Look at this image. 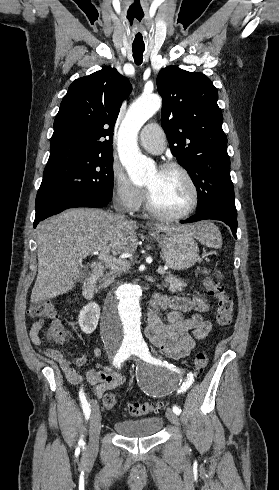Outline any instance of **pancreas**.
<instances>
[{
  "instance_id": "1",
  "label": "pancreas",
  "mask_w": 279,
  "mask_h": 490,
  "mask_svg": "<svg viewBox=\"0 0 279 490\" xmlns=\"http://www.w3.org/2000/svg\"><path fill=\"white\" fill-rule=\"evenodd\" d=\"M131 264H125V266H117V268H112L110 274L113 278L115 276H118L120 272H129ZM165 286H169V290L171 292H176V290H182V288H185L186 284L185 282H182V280H179V278H176V276H172V274H169V276H163Z\"/></svg>"
}]
</instances>
